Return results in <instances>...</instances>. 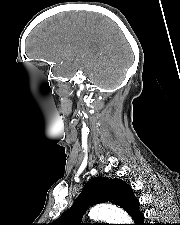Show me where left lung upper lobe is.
Masks as SVG:
<instances>
[{
    "label": "left lung upper lobe",
    "mask_w": 180,
    "mask_h": 225,
    "mask_svg": "<svg viewBox=\"0 0 180 225\" xmlns=\"http://www.w3.org/2000/svg\"><path fill=\"white\" fill-rule=\"evenodd\" d=\"M111 202L122 207L129 215L139 210L133 190L120 179L94 177L83 188L69 210L49 225L81 224V217L90 205Z\"/></svg>",
    "instance_id": "1"
}]
</instances>
